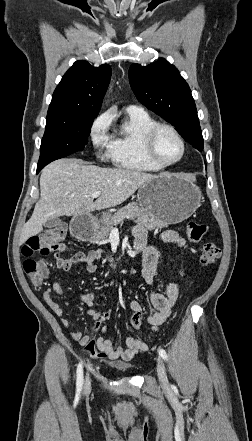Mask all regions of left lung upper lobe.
<instances>
[{
    "label": "left lung upper lobe",
    "mask_w": 252,
    "mask_h": 441,
    "mask_svg": "<svg viewBox=\"0 0 252 441\" xmlns=\"http://www.w3.org/2000/svg\"><path fill=\"white\" fill-rule=\"evenodd\" d=\"M130 85L138 101L174 125L197 150L203 137L191 90L176 67L160 58L146 67L132 64Z\"/></svg>",
    "instance_id": "1"
}]
</instances>
